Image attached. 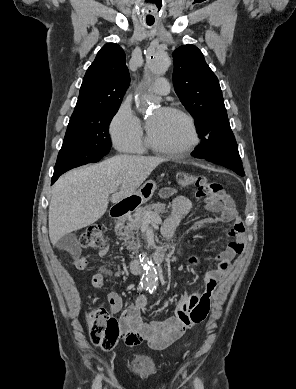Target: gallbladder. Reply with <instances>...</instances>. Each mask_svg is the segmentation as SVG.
Here are the masks:
<instances>
[{
	"label": "gallbladder",
	"mask_w": 296,
	"mask_h": 389,
	"mask_svg": "<svg viewBox=\"0 0 296 389\" xmlns=\"http://www.w3.org/2000/svg\"><path fill=\"white\" fill-rule=\"evenodd\" d=\"M57 247L60 250L71 253L75 257L79 256L82 251L75 233H69L60 238L57 242Z\"/></svg>",
	"instance_id": "1"
}]
</instances>
